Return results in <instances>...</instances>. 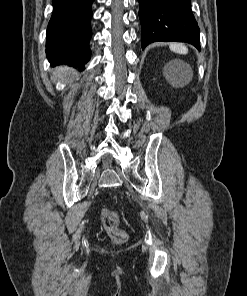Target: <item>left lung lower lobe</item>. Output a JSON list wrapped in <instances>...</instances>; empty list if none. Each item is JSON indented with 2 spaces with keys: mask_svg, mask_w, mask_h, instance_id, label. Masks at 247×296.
I'll return each mask as SVG.
<instances>
[{
  "mask_svg": "<svg viewBox=\"0 0 247 296\" xmlns=\"http://www.w3.org/2000/svg\"><path fill=\"white\" fill-rule=\"evenodd\" d=\"M144 49L155 41L187 42L200 50L199 27L191 0H138Z\"/></svg>",
  "mask_w": 247,
  "mask_h": 296,
  "instance_id": "1",
  "label": "left lung lower lobe"
}]
</instances>
